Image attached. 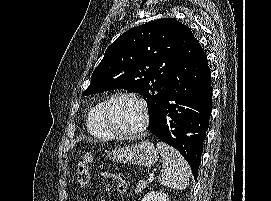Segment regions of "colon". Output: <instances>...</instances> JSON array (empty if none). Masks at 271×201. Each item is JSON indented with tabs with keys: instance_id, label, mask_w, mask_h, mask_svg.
Masks as SVG:
<instances>
[{
	"instance_id": "5ec220e1",
	"label": "colon",
	"mask_w": 271,
	"mask_h": 201,
	"mask_svg": "<svg viewBox=\"0 0 271 201\" xmlns=\"http://www.w3.org/2000/svg\"><path fill=\"white\" fill-rule=\"evenodd\" d=\"M92 160V155L87 153L77 166V180L80 186L84 187L89 182V167Z\"/></svg>"
}]
</instances>
